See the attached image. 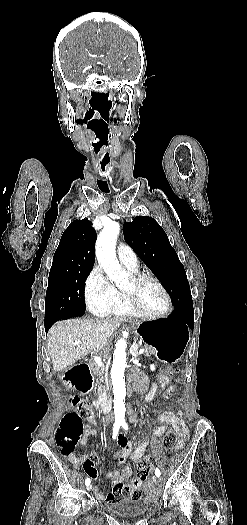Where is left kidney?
Listing matches in <instances>:
<instances>
[{
	"label": "left kidney",
	"mask_w": 247,
	"mask_h": 525,
	"mask_svg": "<svg viewBox=\"0 0 247 525\" xmlns=\"http://www.w3.org/2000/svg\"><path fill=\"white\" fill-rule=\"evenodd\" d=\"M151 369H152V371H154V365H151Z\"/></svg>",
	"instance_id": "obj_1"
}]
</instances>
